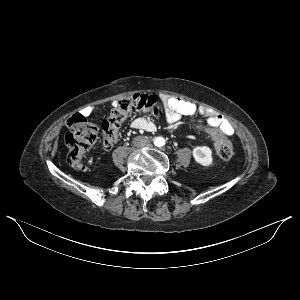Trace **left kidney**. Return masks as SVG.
Listing matches in <instances>:
<instances>
[{
    "instance_id": "1",
    "label": "left kidney",
    "mask_w": 300,
    "mask_h": 300,
    "mask_svg": "<svg viewBox=\"0 0 300 300\" xmlns=\"http://www.w3.org/2000/svg\"><path fill=\"white\" fill-rule=\"evenodd\" d=\"M195 161L203 166H209L212 163V151L207 146H197L193 149Z\"/></svg>"
}]
</instances>
